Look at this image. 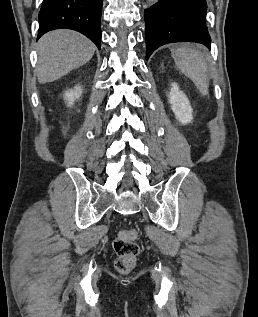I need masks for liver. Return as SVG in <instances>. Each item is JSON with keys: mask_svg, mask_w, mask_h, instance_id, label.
Listing matches in <instances>:
<instances>
[{"mask_svg": "<svg viewBox=\"0 0 258 317\" xmlns=\"http://www.w3.org/2000/svg\"><path fill=\"white\" fill-rule=\"evenodd\" d=\"M38 82H52L92 58L95 46L75 30H51L38 40Z\"/></svg>", "mask_w": 258, "mask_h": 317, "instance_id": "6515ba94", "label": "liver"}]
</instances>
